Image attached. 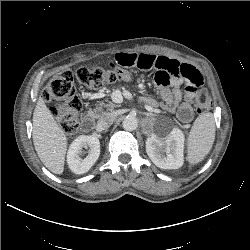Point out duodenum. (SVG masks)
Here are the masks:
<instances>
[{"mask_svg": "<svg viewBox=\"0 0 250 250\" xmlns=\"http://www.w3.org/2000/svg\"><path fill=\"white\" fill-rule=\"evenodd\" d=\"M94 115L93 113H87L82 119V128L84 131H91L93 128Z\"/></svg>", "mask_w": 250, "mask_h": 250, "instance_id": "410a0bca", "label": "duodenum"}]
</instances>
